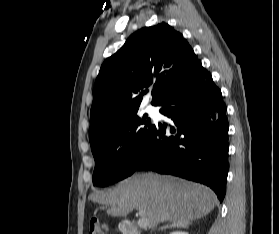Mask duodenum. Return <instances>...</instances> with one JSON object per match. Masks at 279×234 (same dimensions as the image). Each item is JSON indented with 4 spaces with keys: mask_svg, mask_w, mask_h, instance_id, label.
I'll list each match as a JSON object with an SVG mask.
<instances>
[{
    "mask_svg": "<svg viewBox=\"0 0 279 234\" xmlns=\"http://www.w3.org/2000/svg\"><path fill=\"white\" fill-rule=\"evenodd\" d=\"M122 230L125 234H140L135 225L130 221H125L122 223Z\"/></svg>",
    "mask_w": 279,
    "mask_h": 234,
    "instance_id": "1",
    "label": "duodenum"
}]
</instances>
